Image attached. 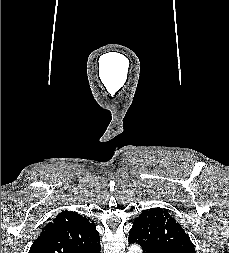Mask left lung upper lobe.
Segmentation results:
<instances>
[{
  "label": "left lung upper lobe",
  "mask_w": 229,
  "mask_h": 253,
  "mask_svg": "<svg viewBox=\"0 0 229 253\" xmlns=\"http://www.w3.org/2000/svg\"><path fill=\"white\" fill-rule=\"evenodd\" d=\"M130 243H138L143 253H196L188 235L167 210L143 211L130 229Z\"/></svg>",
  "instance_id": "5c2ea615"
}]
</instances>
